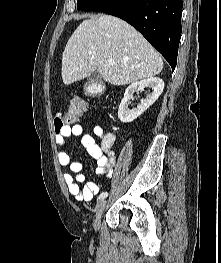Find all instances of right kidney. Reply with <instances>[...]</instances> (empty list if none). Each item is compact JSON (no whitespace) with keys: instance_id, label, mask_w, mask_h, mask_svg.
Returning a JSON list of instances; mask_svg holds the SVG:
<instances>
[{"instance_id":"right-kidney-1","label":"right kidney","mask_w":221,"mask_h":263,"mask_svg":"<svg viewBox=\"0 0 221 263\" xmlns=\"http://www.w3.org/2000/svg\"><path fill=\"white\" fill-rule=\"evenodd\" d=\"M146 87L152 89L145 99H142L137 108L129 109V100L135 92L143 91ZM164 89V82L158 77H151L135 83L127 87L124 97L120 103L118 117L122 123H130L146 111L161 95Z\"/></svg>"}]
</instances>
